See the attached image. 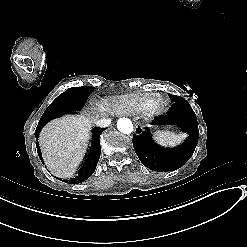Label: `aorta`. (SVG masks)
Segmentation results:
<instances>
[{
    "instance_id": "1",
    "label": "aorta",
    "mask_w": 247,
    "mask_h": 247,
    "mask_svg": "<svg viewBox=\"0 0 247 247\" xmlns=\"http://www.w3.org/2000/svg\"><path fill=\"white\" fill-rule=\"evenodd\" d=\"M117 129L124 134H130L133 131V124L130 119L120 118L117 121Z\"/></svg>"
}]
</instances>
